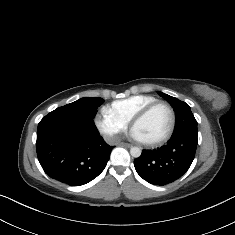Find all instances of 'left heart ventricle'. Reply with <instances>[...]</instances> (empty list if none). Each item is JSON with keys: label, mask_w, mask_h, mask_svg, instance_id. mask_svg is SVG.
<instances>
[{"label": "left heart ventricle", "mask_w": 235, "mask_h": 235, "mask_svg": "<svg viewBox=\"0 0 235 235\" xmlns=\"http://www.w3.org/2000/svg\"><path fill=\"white\" fill-rule=\"evenodd\" d=\"M170 114L164 107L153 110L145 119L136 123L134 132L142 142H151L163 137L170 127Z\"/></svg>", "instance_id": "obj_1"}]
</instances>
